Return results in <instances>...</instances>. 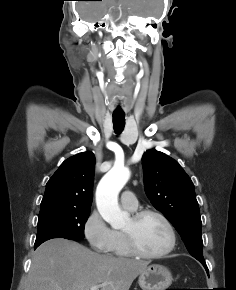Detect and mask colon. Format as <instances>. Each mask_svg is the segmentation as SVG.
Returning a JSON list of instances; mask_svg holds the SVG:
<instances>
[{"label":"colon","instance_id":"1","mask_svg":"<svg viewBox=\"0 0 236 290\" xmlns=\"http://www.w3.org/2000/svg\"><path fill=\"white\" fill-rule=\"evenodd\" d=\"M168 290H177V289H168Z\"/></svg>","mask_w":236,"mask_h":290}]
</instances>
